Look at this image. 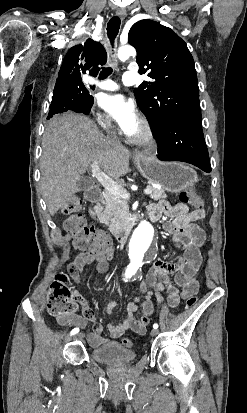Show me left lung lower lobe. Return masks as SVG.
I'll return each instance as SVG.
<instances>
[{
    "label": "left lung lower lobe",
    "instance_id": "0a47b994",
    "mask_svg": "<svg viewBox=\"0 0 247 413\" xmlns=\"http://www.w3.org/2000/svg\"><path fill=\"white\" fill-rule=\"evenodd\" d=\"M153 136L157 141L158 159L187 162L211 172L201 123L174 119L153 131Z\"/></svg>",
    "mask_w": 247,
    "mask_h": 413
}]
</instances>
